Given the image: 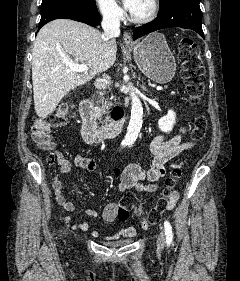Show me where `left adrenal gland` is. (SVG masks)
<instances>
[{
	"instance_id": "left-adrenal-gland-1",
	"label": "left adrenal gland",
	"mask_w": 240,
	"mask_h": 281,
	"mask_svg": "<svg viewBox=\"0 0 240 281\" xmlns=\"http://www.w3.org/2000/svg\"><path fill=\"white\" fill-rule=\"evenodd\" d=\"M142 88H143V90H145V91L148 90L144 84L142 85Z\"/></svg>"
}]
</instances>
